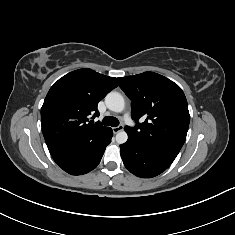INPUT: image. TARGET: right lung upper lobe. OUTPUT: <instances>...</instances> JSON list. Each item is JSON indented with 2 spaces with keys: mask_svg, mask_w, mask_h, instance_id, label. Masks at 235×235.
Segmentation results:
<instances>
[{
  "mask_svg": "<svg viewBox=\"0 0 235 235\" xmlns=\"http://www.w3.org/2000/svg\"><path fill=\"white\" fill-rule=\"evenodd\" d=\"M117 86L116 78L83 68L63 76L50 88L41 108V125L52 157L96 140L109 130L89 117L99 115L98 102Z\"/></svg>",
  "mask_w": 235,
  "mask_h": 235,
  "instance_id": "right-lung-upper-lobe-1",
  "label": "right lung upper lobe"
}]
</instances>
